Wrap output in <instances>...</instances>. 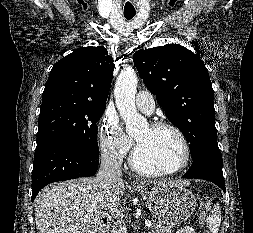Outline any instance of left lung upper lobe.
<instances>
[{
    "label": "left lung upper lobe",
    "mask_w": 253,
    "mask_h": 233,
    "mask_svg": "<svg viewBox=\"0 0 253 233\" xmlns=\"http://www.w3.org/2000/svg\"><path fill=\"white\" fill-rule=\"evenodd\" d=\"M133 61L167 118L190 143L192 159L203 152L221 154L213 88L204 62L179 44L138 50Z\"/></svg>",
    "instance_id": "obj_1"
}]
</instances>
